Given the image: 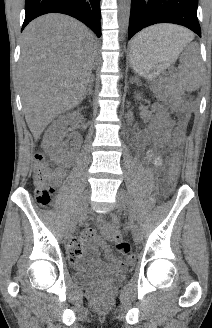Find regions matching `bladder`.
Instances as JSON below:
<instances>
[{"instance_id": "31cf9c89", "label": "bladder", "mask_w": 212, "mask_h": 328, "mask_svg": "<svg viewBox=\"0 0 212 328\" xmlns=\"http://www.w3.org/2000/svg\"><path fill=\"white\" fill-rule=\"evenodd\" d=\"M125 278L122 273L98 274L91 270L87 262H79L75 265L73 279L80 285H94L100 283H116Z\"/></svg>"}]
</instances>
